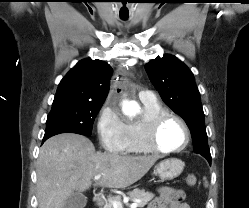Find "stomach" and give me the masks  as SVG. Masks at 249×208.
<instances>
[{
    "label": "stomach",
    "instance_id": "obj_1",
    "mask_svg": "<svg viewBox=\"0 0 249 208\" xmlns=\"http://www.w3.org/2000/svg\"><path fill=\"white\" fill-rule=\"evenodd\" d=\"M184 169V163L177 158H169L155 166V173L161 181L172 180L178 177Z\"/></svg>",
    "mask_w": 249,
    "mask_h": 208
}]
</instances>
